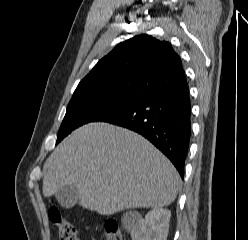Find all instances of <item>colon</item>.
<instances>
[{
	"label": "colon",
	"mask_w": 248,
	"mask_h": 240,
	"mask_svg": "<svg viewBox=\"0 0 248 240\" xmlns=\"http://www.w3.org/2000/svg\"><path fill=\"white\" fill-rule=\"evenodd\" d=\"M50 221L57 227L60 240H80L75 225L63 216L57 207H51L48 211ZM106 240H124V236L114 220L105 224Z\"/></svg>",
	"instance_id": "5ec220e1"
}]
</instances>
